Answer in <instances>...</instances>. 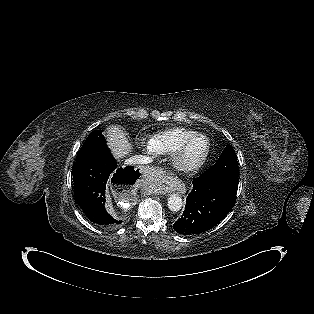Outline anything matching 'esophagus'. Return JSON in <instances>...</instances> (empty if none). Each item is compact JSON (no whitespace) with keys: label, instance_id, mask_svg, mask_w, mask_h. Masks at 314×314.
Returning a JSON list of instances; mask_svg holds the SVG:
<instances>
[{"label":"esophagus","instance_id":"34e87169","mask_svg":"<svg viewBox=\"0 0 314 314\" xmlns=\"http://www.w3.org/2000/svg\"><path fill=\"white\" fill-rule=\"evenodd\" d=\"M152 171L153 176L156 177V181L160 182L162 185L160 193L166 194L172 191H178L182 194L185 193L186 189L183 184L178 181V179L173 176L163 174V172L158 168H153Z\"/></svg>","mask_w":314,"mask_h":314}]
</instances>
